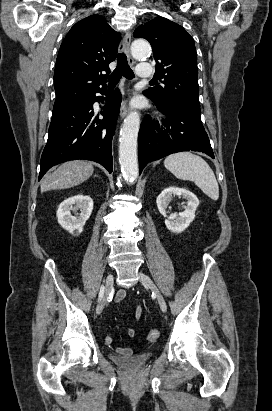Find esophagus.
I'll return each mask as SVG.
<instances>
[{
	"mask_svg": "<svg viewBox=\"0 0 272 411\" xmlns=\"http://www.w3.org/2000/svg\"><path fill=\"white\" fill-rule=\"evenodd\" d=\"M130 44H131V34L130 32H127L123 38V46H124V51L128 57V62L130 65H134V59L130 55ZM129 112V107L127 105V101H124L121 105L120 108V116L121 118H124Z\"/></svg>",
	"mask_w": 272,
	"mask_h": 411,
	"instance_id": "34e87169",
	"label": "esophagus"
}]
</instances>
